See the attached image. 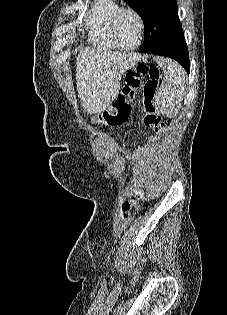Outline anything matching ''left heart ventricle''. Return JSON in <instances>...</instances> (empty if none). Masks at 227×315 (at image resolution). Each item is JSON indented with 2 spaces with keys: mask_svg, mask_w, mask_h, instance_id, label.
<instances>
[{
  "mask_svg": "<svg viewBox=\"0 0 227 315\" xmlns=\"http://www.w3.org/2000/svg\"><path fill=\"white\" fill-rule=\"evenodd\" d=\"M138 31V22L131 13L123 14L115 28L117 39L123 46L135 45L139 37Z\"/></svg>",
  "mask_w": 227,
  "mask_h": 315,
  "instance_id": "1",
  "label": "left heart ventricle"
}]
</instances>
